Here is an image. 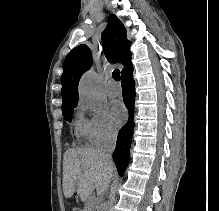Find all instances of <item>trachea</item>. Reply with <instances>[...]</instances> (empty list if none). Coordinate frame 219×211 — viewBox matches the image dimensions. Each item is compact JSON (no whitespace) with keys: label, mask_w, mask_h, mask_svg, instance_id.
I'll return each instance as SVG.
<instances>
[{"label":"trachea","mask_w":219,"mask_h":211,"mask_svg":"<svg viewBox=\"0 0 219 211\" xmlns=\"http://www.w3.org/2000/svg\"><path fill=\"white\" fill-rule=\"evenodd\" d=\"M112 76H113L114 80H116V81H120V79H121L120 71L118 69L113 71Z\"/></svg>","instance_id":"1"}]
</instances>
